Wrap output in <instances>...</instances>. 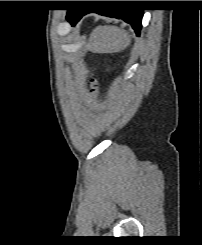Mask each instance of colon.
I'll return each instance as SVG.
<instances>
[{"label": "colon", "instance_id": "1", "mask_svg": "<svg viewBox=\"0 0 202 245\" xmlns=\"http://www.w3.org/2000/svg\"><path fill=\"white\" fill-rule=\"evenodd\" d=\"M100 87H101V83L95 78L92 80V83L89 87V92L91 94H96L99 92L100 90Z\"/></svg>", "mask_w": 202, "mask_h": 245}]
</instances>
